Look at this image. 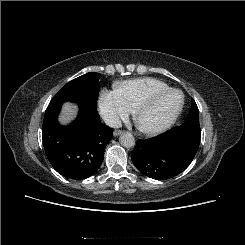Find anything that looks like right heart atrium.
Listing matches in <instances>:
<instances>
[{
    "label": "right heart atrium",
    "instance_id": "right-heart-atrium-1",
    "mask_svg": "<svg viewBox=\"0 0 245 245\" xmlns=\"http://www.w3.org/2000/svg\"><path fill=\"white\" fill-rule=\"evenodd\" d=\"M98 104L100 114L111 126H116L121 120L128 118L131 111L115 90L103 89Z\"/></svg>",
    "mask_w": 245,
    "mask_h": 245
}]
</instances>
